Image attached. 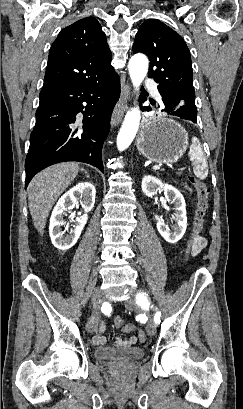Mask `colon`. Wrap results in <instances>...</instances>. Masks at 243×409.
<instances>
[{"mask_svg": "<svg viewBox=\"0 0 243 409\" xmlns=\"http://www.w3.org/2000/svg\"><path fill=\"white\" fill-rule=\"evenodd\" d=\"M189 179L193 183L197 191V208H196L195 217L193 221V230L187 242V251H186L187 257L192 255V250L194 246L196 245L198 238L201 236L200 232L203 229L204 218H205V214L208 208V200H209L208 199L209 189L207 188V186L193 176L190 177ZM114 323L117 327L121 328L124 332H127V333L133 332L136 329L133 324L125 323L121 317H116L114 319ZM138 335H139L141 342H144L146 340V335L143 331L139 330Z\"/></svg>", "mask_w": 243, "mask_h": 409, "instance_id": "5ec220e1", "label": "colon"}]
</instances>
